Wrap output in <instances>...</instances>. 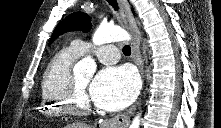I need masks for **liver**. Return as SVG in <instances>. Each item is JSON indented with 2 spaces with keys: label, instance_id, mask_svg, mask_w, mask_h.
Masks as SVG:
<instances>
[{
  "label": "liver",
  "instance_id": "1",
  "mask_svg": "<svg viewBox=\"0 0 221 128\" xmlns=\"http://www.w3.org/2000/svg\"><path fill=\"white\" fill-rule=\"evenodd\" d=\"M65 128H91V127L84 123H73V124L67 125Z\"/></svg>",
  "mask_w": 221,
  "mask_h": 128
}]
</instances>
